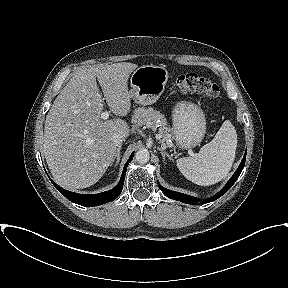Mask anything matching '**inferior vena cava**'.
Masks as SVG:
<instances>
[{"label":"inferior vena cava","mask_w":288,"mask_h":288,"mask_svg":"<svg viewBox=\"0 0 288 288\" xmlns=\"http://www.w3.org/2000/svg\"><path fill=\"white\" fill-rule=\"evenodd\" d=\"M123 141H125V138L123 136H121V135L114 136V142L116 145H118V146L121 145V143Z\"/></svg>","instance_id":"1"}]
</instances>
